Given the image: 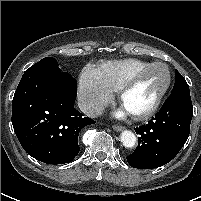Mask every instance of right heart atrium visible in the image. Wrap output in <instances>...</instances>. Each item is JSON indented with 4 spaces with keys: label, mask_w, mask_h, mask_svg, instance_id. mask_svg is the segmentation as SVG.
Here are the masks:
<instances>
[{
    "label": "right heart atrium",
    "mask_w": 201,
    "mask_h": 201,
    "mask_svg": "<svg viewBox=\"0 0 201 201\" xmlns=\"http://www.w3.org/2000/svg\"><path fill=\"white\" fill-rule=\"evenodd\" d=\"M113 91L105 84L97 68L87 66L79 78L78 100L81 110L94 117L112 101Z\"/></svg>",
    "instance_id": "1"
}]
</instances>
